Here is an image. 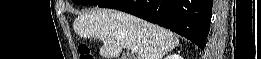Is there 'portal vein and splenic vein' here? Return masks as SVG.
I'll return each mask as SVG.
<instances>
[{
    "instance_id": "1",
    "label": "portal vein and splenic vein",
    "mask_w": 261,
    "mask_h": 59,
    "mask_svg": "<svg viewBox=\"0 0 261 59\" xmlns=\"http://www.w3.org/2000/svg\"><path fill=\"white\" fill-rule=\"evenodd\" d=\"M131 51H132L133 53H136V52H138V48H137V47H132V48H131Z\"/></svg>"
}]
</instances>
